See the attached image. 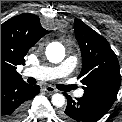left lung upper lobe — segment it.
<instances>
[{
  "mask_svg": "<svg viewBox=\"0 0 122 122\" xmlns=\"http://www.w3.org/2000/svg\"><path fill=\"white\" fill-rule=\"evenodd\" d=\"M74 31L82 53L78 78L84 96L113 105L121 84L118 59L108 41L82 21L74 20Z\"/></svg>",
  "mask_w": 122,
  "mask_h": 122,
  "instance_id": "5c2ea615",
  "label": "left lung upper lobe"
}]
</instances>
